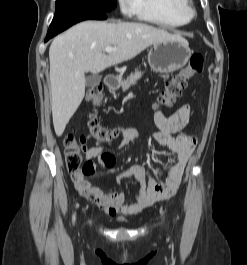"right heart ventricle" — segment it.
Segmentation results:
<instances>
[{
    "mask_svg": "<svg viewBox=\"0 0 247 265\" xmlns=\"http://www.w3.org/2000/svg\"><path fill=\"white\" fill-rule=\"evenodd\" d=\"M188 5V0H137L135 14L143 21L176 28L189 22Z\"/></svg>",
    "mask_w": 247,
    "mask_h": 265,
    "instance_id": "1",
    "label": "right heart ventricle"
}]
</instances>
